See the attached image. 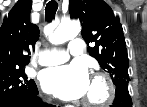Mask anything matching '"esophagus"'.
<instances>
[{"instance_id": "obj_1", "label": "esophagus", "mask_w": 147, "mask_h": 107, "mask_svg": "<svg viewBox=\"0 0 147 107\" xmlns=\"http://www.w3.org/2000/svg\"><path fill=\"white\" fill-rule=\"evenodd\" d=\"M56 1H57L58 4H61V2H62L61 0H56Z\"/></svg>"}]
</instances>
